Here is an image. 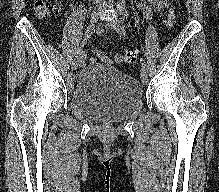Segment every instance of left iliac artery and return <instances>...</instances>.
Segmentation results:
<instances>
[{"mask_svg": "<svg viewBox=\"0 0 219 192\" xmlns=\"http://www.w3.org/2000/svg\"><path fill=\"white\" fill-rule=\"evenodd\" d=\"M120 33L123 34V35H126V31H125L124 27H122V26H121V28H120ZM141 65H142V67H144V68L147 67V65H146L145 62H142Z\"/></svg>", "mask_w": 219, "mask_h": 192, "instance_id": "left-iliac-artery-1", "label": "left iliac artery"}]
</instances>
